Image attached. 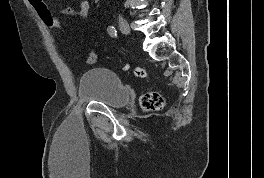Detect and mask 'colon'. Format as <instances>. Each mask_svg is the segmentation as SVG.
Returning a JSON list of instances; mask_svg holds the SVG:
<instances>
[{"label":"colon","mask_w":264,"mask_h":178,"mask_svg":"<svg viewBox=\"0 0 264 178\" xmlns=\"http://www.w3.org/2000/svg\"><path fill=\"white\" fill-rule=\"evenodd\" d=\"M29 3L45 26L61 29L60 22L53 15L44 0H29ZM97 60L98 55L96 53L92 52L87 55L86 62L88 64L96 63ZM135 75L143 78L146 76V71L142 68H137L135 69ZM140 106L145 111H158L164 107V98L157 91H149L141 96Z\"/></svg>","instance_id":"5ec220e1"}]
</instances>
